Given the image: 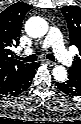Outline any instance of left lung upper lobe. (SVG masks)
Returning <instances> with one entry per match:
<instances>
[{
  "mask_svg": "<svg viewBox=\"0 0 81 124\" xmlns=\"http://www.w3.org/2000/svg\"><path fill=\"white\" fill-rule=\"evenodd\" d=\"M61 12L66 18L69 28L70 44L75 45L79 50V55L75 56V61L68 73L81 80V8L77 6H65Z\"/></svg>",
  "mask_w": 81,
  "mask_h": 124,
  "instance_id": "obj_1",
  "label": "left lung upper lobe"
}]
</instances>
